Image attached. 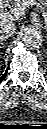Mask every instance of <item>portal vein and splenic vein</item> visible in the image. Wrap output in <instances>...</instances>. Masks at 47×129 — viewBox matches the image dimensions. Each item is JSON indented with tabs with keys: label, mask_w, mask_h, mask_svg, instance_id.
Wrapping results in <instances>:
<instances>
[{
	"label": "portal vein and splenic vein",
	"mask_w": 47,
	"mask_h": 129,
	"mask_svg": "<svg viewBox=\"0 0 47 129\" xmlns=\"http://www.w3.org/2000/svg\"><path fill=\"white\" fill-rule=\"evenodd\" d=\"M37 5L38 3H33V5ZM26 11V7L25 6H16L14 8H12L9 12H2L0 14V17L2 18V20H6V19H18L19 17H21L22 15H24Z\"/></svg>",
	"instance_id": "obj_1"
}]
</instances>
